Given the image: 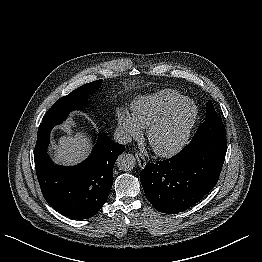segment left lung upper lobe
Wrapping results in <instances>:
<instances>
[{"instance_id": "obj_1", "label": "left lung upper lobe", "mask_w": 262, "mask_h": 262, "mask_svg": "<svg viewBox=\"0 0 262 262\" xmlns=\"http://www.w3.org/2000/svg\"><path fill=\"white\" fill-rule=\"evenodd\" d=\"M206 137H226V130L211 101L206 105V120L198 127L192 141Z\"/></svg>"}]
</instances>
